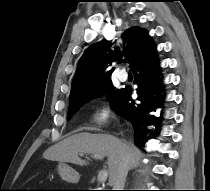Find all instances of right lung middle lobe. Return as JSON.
I'll list each match as a JSON object with an SVG mask.
<instances>
[{
    "instance_id": "1",
    "label": "right lung middle lobe",
    "mask_w": 210,
    "mask_h": 191,
    "mask_svg": "<svg viewBox=\"0 0 210 191\" xmlns=\"http://www.w3.org/2000/svg\"><path fill=\"white\" fill-rule=\"evenodd\" d=\"M121 89H115L112 85V81L109 80L94 90L78 96L74 99L70 100V108H69V118L72 117L86 102L92 100L95 97H100L102 95L108 94L109 99L113 98L111 104L114 102L116 96L120 93Z\"/></svg>"
}]
</instances>
